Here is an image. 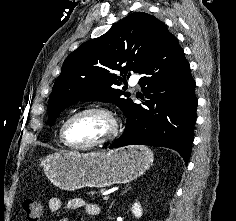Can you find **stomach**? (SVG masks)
Wrapping results in <instances>:
<instances>
[{"mask_svg":"<svg viewBox=\"0 0 236 221\" xmlns=\"http://www.w3.org/2000/svg\"><path fill=\"white\" fill-rule=\"evenodd\" d=\"M153 158L148 147L133 145L107 152L61 151L48 155L42 167L56 187L74 191L130 182L151 166Z\"/></svg>","mask_w":236,"mask_h":221,"instance_id":"stomach-1","label":"stomach"}]
</instances>
